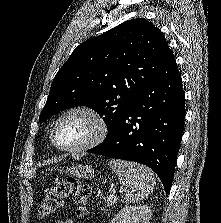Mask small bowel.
Wrapping results in <instances>:
<instances>
[{"label":"small bowel","instance_id":"c3829d8e","mask_svg":"<svg viewBox=\"0 0 221 223\" xmlns=\"http://www.w3.org/2000/svg\"><path fill=\"white\" fill-rule=\"evenodd\" d=\"M55 223H74V222L70 218H65V219L57 220Z\"/></svg>","mask_w":221,"mask_h":223}]
</instances>
